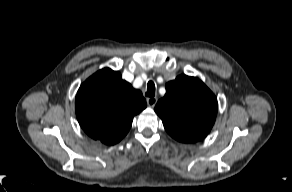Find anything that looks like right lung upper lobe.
I'll return each instance as SVG.
<instances>
[{
	"label": "right lung upper lobe",
	"instance_id": "right-lung-upper-lobe-1",
	"mask_svg": "<svg viewBox=\"0 0 292 192\" xmlns=\"http://www.w3.org/2000/svg\"><path fill=\"white\" fill-rule=\"evenodd\" d=\"M146 108L141 91L122 79L120 72L99 70L79 88L75 110L82 129L104 144L118 143L130 130L133 117Z\"/></svg>",
	"mask_w": 292,
	"mask_h": 192
}]
</instances>
